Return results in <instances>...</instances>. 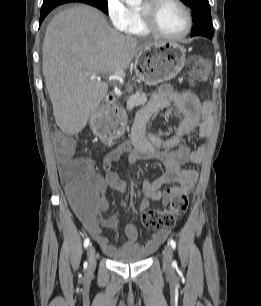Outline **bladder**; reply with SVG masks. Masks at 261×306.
Segmentation results:
<instances>
[{"instance_id":"obj_1","label":"bladder","mask_w":261,"mask_h":306,"mask_svg":"<svg viewBox=\"0 0 261 306\" xmlns=\"http://www.w3.org/2000/svg\"><path fill=\"white\" fill-rule=\"evenodd\" d=\"M147 259V254H133V255H128V256H119V257H114L112 259L113 262L117 264H135V263H140L144 262Z\"/></svg>"}]
</instances>
